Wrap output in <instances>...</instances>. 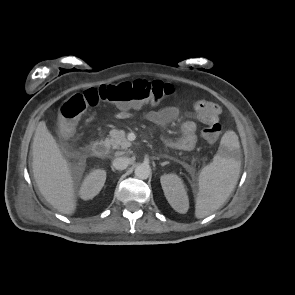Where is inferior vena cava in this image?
Returning <instances> with one entry per match:
<instances>
[{"label":"inferior vena cava","mask_w":295,"mask_h":295,"mask_svg":"<svg viewBox=\"0 0 295 295\" xmlns=\"http://www.w3.org/2000/svg\"><path fill=\"white\" fill-rule=\"evenodd\" d=\"M130 163V159L127 157H117L113 160L112 165L117 170H124Z\"/></svg>","instance_id":"602c4592"}]
</instances>
